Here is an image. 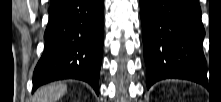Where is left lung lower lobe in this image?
<instances>
[{
	"label": "left lung lower lobe",
	"instance_id": "1",
	"mask_svg": "<svg viewBox=\"0 0 221 102\" xmlns=\"http://www.w3.org/2000/svg\"><path fill=\"white\" fill-rule=\"evenodd\" d=\"M147 88L166 78L207 86L197 0H140Z\"/></svg>",
	"mask_w": 221,
	"mask_h": 102
}]
</instances>
